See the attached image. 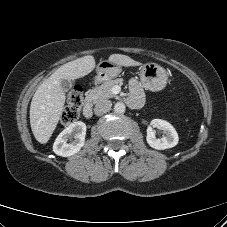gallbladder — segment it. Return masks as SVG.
Wrapping results in <instances>:
<instances>
[{
    "instance_id": "1",
    "label": "gallbladder",
    "mask_w": 227,
    "mask_h": 227,
    "mask_svg": "<svg viewBox=\"0 0 227 227\" xmlns=\"http://www.w3.org/2000/svg\"><path fill=\"white\" fill-rule=\"evenodd\" d=\"M61 87L63 91H69L72 87V82L70 80L63 79L61 80Z\"/></svg>"
}]
</instances>
